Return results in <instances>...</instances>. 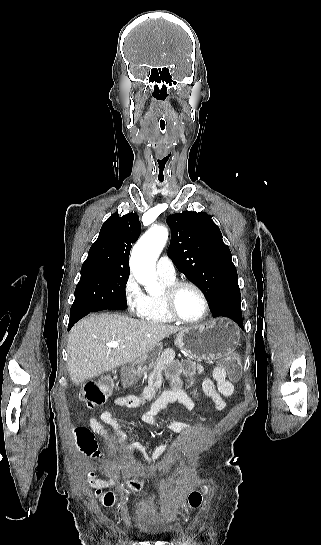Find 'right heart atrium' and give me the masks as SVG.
I'll use <instances>...</instances> for the list:
<instances>
[{
  "mask_svg": "<svg viewBox=\"0 0 321 545\" xmlns=\"http://www.w3.org/2000/svg\"><path fill=\"white\" fill-rule=\"evenodd\" d=\"M122 296L129 313L141 317L146 309L148 297L132 273H129L123 282Z\"/></svg>",
  "mask_w": 321,
  "mask_h": 545,
  "instance_id": "1",
  "label": "right heart atrium"
}]
</instances>
